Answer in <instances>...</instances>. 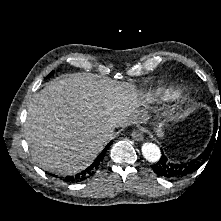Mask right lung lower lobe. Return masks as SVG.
Returning a JSON list of instances; mask_svg holds the SVG:
<instances>
[{"label":"right lung lower lobe","instance_id":"98d812e1","mask_svg":"<svg viewBox=\"0 0 221 221\" xmlns=\"http://www.w3.org/2000/svg\"><path fill=\"white\" fill-rule=\"evenodd\" d=\"M112 142L113 141H111L107 144V146L102 151V153L99 154V156L95 159V161L88 168H86L81 173H79L75 176H67V177L62 178L63 181H66V182H79V181H82V180L86 179L89 176H92L94 174V172L97 170L99 164L103 161L105 153H106L107 149L109 148V146L112 144Z\"/></svg>","mask_w":221,"mask_h":221}]
</instances>
